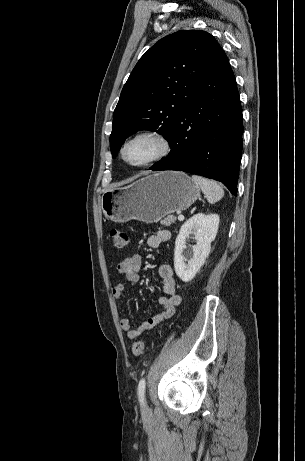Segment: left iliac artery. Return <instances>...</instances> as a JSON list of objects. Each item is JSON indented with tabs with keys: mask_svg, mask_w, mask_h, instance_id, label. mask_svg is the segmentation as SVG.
I'll use <instances>...</instances> for the list:
<instances>
[{
	"mask_svg": "<svg viewBox=\"0 0 305 461\" xmlns=\"http://www.w3.org/2000/svg\"><path fill=\"white\" fill-rule=\"evenodd\" d=\"M145 387H146V381H145V378H142L138 384V396L142 404H144Z\"/></svg>",
	"mask_w": 305,
	"mask_h": 461,
	"instance_id": "obj_1",
	"label": "left iliac artery"
}]
</instances>
